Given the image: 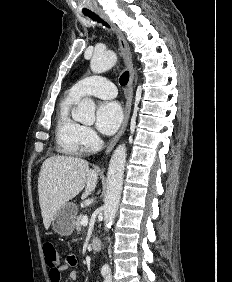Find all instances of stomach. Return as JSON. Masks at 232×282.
<instances>
[{"label":"stomach","mask_w":232,"mask_h":282,"mask_svg":"<svg viewBox=\"0 0 232 282\" xmlns=\"http://www.w3.org/2000/svg\"><path fill=\"white\" fill-rule=\"evenodd\" d=\"M77 215V207L73 203H67L60 207L51 224L53 230L60 236H70L75 227V220Z\"/></svg>","instance_id":"1"}]
</instances>
